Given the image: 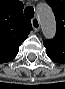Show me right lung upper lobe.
<instances>
[{"instance_id":"cb5924a9","label":"right lung upper lobe","mask_w":65,"mask_h":89,"mask_svg":"<svg viewBox=\"0 0 65 89\" xmlns=\"http://www.w3.org/2000/svg\"><path fill=\"white\" fill-rule=\"evenodd\" d=\"M31 30V21L24 17L21 1L0 0V63L17 55Z\"/></svg>"}]
</instances>
